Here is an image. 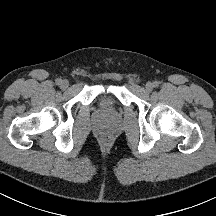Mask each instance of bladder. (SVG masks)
<instances>
[{
	"label": "bladder",
	"mask_w": 216,
	"mask_h": 216,
	"mask_svg": "<svg viewBox=\"0 0 216 216\" xmlns=\"http://www.w3.org/2000/svg\"><path fill=\"white\" fill-rule=\"evenodd\" d=\"M96 104L101 113L111 115L116 109L118 101L115 95L104 93L98 96Z\"/></svg>",
	"instance_id": "31cf9c89"
}]
</instances>
